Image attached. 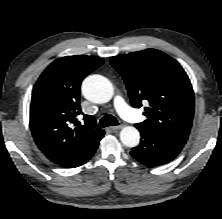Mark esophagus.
<instances>
[{
    "label": "esophagus",
    "mask_w": 222,
    "mask_h": 219,
    "mask_svg": "<svg viewBox=\"0 0 222 219\" xmlns=\"http://www.w3.org/2000/svg\"><path fill=\"white\" fill-rule=\"evenodd\" d=\"M124 126L123 125H118V126H112L110 127L111 130H120L122 129Z\"/></svg>",
    "instance_id": "34e87169"
}]
</instances>
